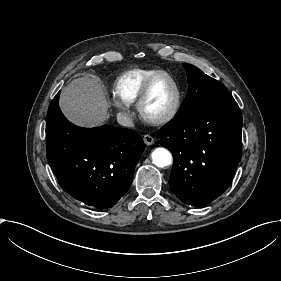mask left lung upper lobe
<instances>
[{"mask_svg": "<svg viewBox=\"0 0 281 281\" xmlns=\"http://www.w3.org/2000/svg\"><path fill=\"white\" fill-rule=\"evenodd\" d=\"M183 66L187 71L189 86L186 98L176 116L235 102L222 83L193 65L183 64Z\"/></svg>", "mask_w": 281, "mask_h": 281, "instance_id": "1", "label": "left lung upper lobe"}]
</instances>
